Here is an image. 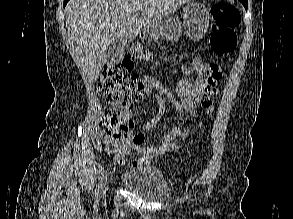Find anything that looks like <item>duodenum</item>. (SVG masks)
Instances as JSON below:
<instances>
[{
	"label": "duodenum",
	"instance_id": "duodenum-1",
	"mask_svg": "<svg viewBox=\"0 0 293 219\" xmlns=\"http://www.w3.org/2000/svg\"><path fill=\"white\" fill-rule=\"evenodd\" d=\"M142 37H143V38L145 37V31L142 32Z\"/></svg>",
	"mask_w": 293,
	"mask_h": 219
}]
</instances>
